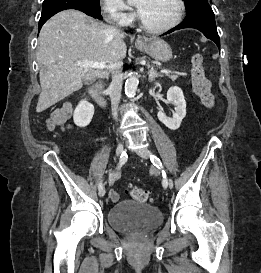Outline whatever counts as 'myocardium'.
I'll return each mask as SVG.
<instances>
[{
	"mask_svg": "<svg viewBox=\"0 0 261 273\" xmlns=\"http://www.w3.org/2000/svg\"><path fill=\"white\" fill-rule=\"evenodd\" d=\"M176 3L178 5V12L177 15L175 17V19L165 25V26H161V27H152L149 26L140 16L139 12L137 11V18H138V22L139 25L141 26L142 29H144L145 31H148L150 33H164L167 32L171 29H173L174 27H176L183 19L184 13H185V3L183 0H176Z\"/></svg>",
	"mask_w": 261,
	"mask_h": 273,
	"instance_id": "1",
	"label": "myocardium"
}]
</instances>
